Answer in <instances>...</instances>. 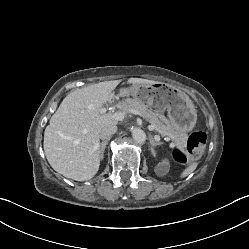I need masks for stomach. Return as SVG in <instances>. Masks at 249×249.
Here are the masks:
<instances>
[{"label":"stomach","mask_w":249,"mask_h":249,"mask_svg":"<svg viewBox=\"0 0 249 249\" xmlns=\"http://www.w3.org/2000/svg\"><path fill=\"white\" fill-rule=\"evenodd\" d=\"M119 94H129L140 103L157 112L167 110L169 120L185 133L191 131L197 121V111L189 96L171 85L161 82L134 84L129 90L117 89Z\"/></svg>","instance_id":"0dacf381"}]
</instances>
